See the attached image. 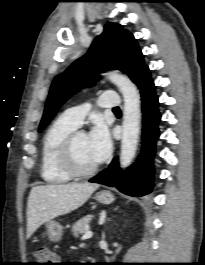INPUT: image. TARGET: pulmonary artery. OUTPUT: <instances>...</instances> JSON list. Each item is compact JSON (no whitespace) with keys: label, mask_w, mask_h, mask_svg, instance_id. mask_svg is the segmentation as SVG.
<instances>
[{"label":"pulmonary artery","mask_w":205,"mask_h":265,"mask_svg":"<svg viewBox=\"0 0 205 265\" xmlns=\"http://www.w3.org/2000/svg\"><path fill=\"white\" fill-rule=\"evenodd\" d=\"M99 106L102 108H116L121 105V99L115 91H106L99 97ZM89 107L87 105L75 106L67 109L63 116L71 123L80 126L86 116Z\"/></svg>","instance_id":"1"}]
</instances>
